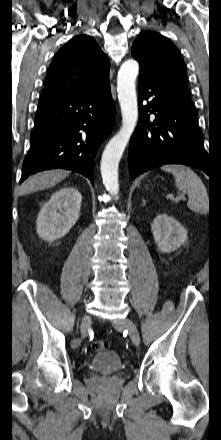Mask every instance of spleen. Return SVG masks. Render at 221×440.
Here are the masks:
<instances>
[{
  "mask_svg": "<svg viewBox=\"0 0 221 440\" xmlns=\"http://www.w3.org/2000/svg\"><path fill=\"white\" fill-rule=\"evenodd\" d=\"M163 171L172 173L175 185L180 191L188 195L187 206L190 210L201 214L209 211V197L207 189L200 177L189 167L184 165H164Z\"/></svg>",
  "mask_w": 221,
  "mask_h": 440,
  "instance_id": "obj_1",
  "label": "spleen"
}]
</instances>
